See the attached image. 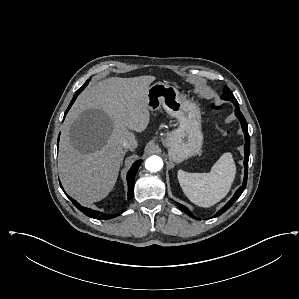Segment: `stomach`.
Listing matches in <instances>:
<instances>
[{
	"label": "stomach",
	"instance_id": "1",
	"mask_svg": "<svg viewBox=\"0 0 299 299\" xmlns=\"http://www.w3.org/2000/svg\"><path fill=\"white\" fill-rule=\"evenodd\" d=\"M147 98L150 111H157L162 106L179 123L178 128L169 132L163 140L169 159L180 163L197 155L203 143L199 107L175 87L162 82H156L148 88Z\"/></svg>",
	"mask_w": 299,
	"mask_h": 299
}]
</instances>
